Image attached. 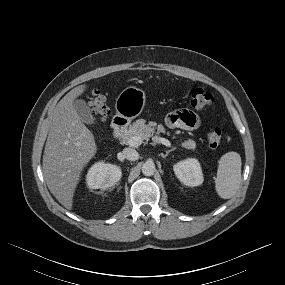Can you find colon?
I'll use <instances>...</instances> for the list:
<instances>
[{"instance_id": "5ec220e1", "label": "colon", "mask_w": 285, "mask_h": 285, "mask_svg": "<svg viewBox=\"0 0 285 285\" xmlns=\"http://www.w3.org/2000/svg\"><path fill=\"white\" fill-rule=\"evenodd\" d=\"M191 106L197 110L209 107L214 102L213 95L202 89L193 88L189 94ZM89 105L94 116L100 120H105L108 115V108L105 103V97L100 91H93L89 98ZM223 138V130L220 127L211 128L207 133L209 146L217 147Z\"/></svg>"}]
</instances>
